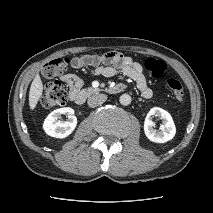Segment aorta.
I'll return each instance as SVG.
<instances>
[{
  "label": "aorta",
  "instance_id": "1",
  "mask_svg": "<svg viewBox=\"0 0 213 213\" xmlns=\"http://www.w3.org/2000/svg\"><path fill=\"white\" fill-rule=\"evenodd\" d=\"M120 103L124 106H127L131 103V96L128 94H122L119 99Z\"/></svg>",
  "mask_w": 213,
  "mask_h": 213
}]
</instances>
